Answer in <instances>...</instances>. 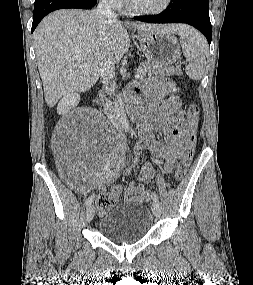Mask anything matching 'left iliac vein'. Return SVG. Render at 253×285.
<instances>
[{
    "mask_svg": "<svg viewBox=\"0 0 253 285\" xmlns=\"http://www.w3.org/2000/svg\"><path fill=\"white\" fill-rule=\"evenodd\" d=\"M161 204L159 203V201H153L152 203V211H153V214L156 216V217H160L161 216Z\"/></svg>",
    "mask_w": 253,
    "mask_h": 285,
    "instance_id": "1",
    "label": "left iliac vein"
}]
</instances>
